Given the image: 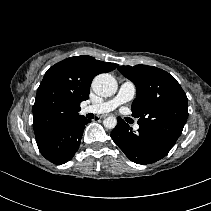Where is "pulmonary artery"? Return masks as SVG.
<instances>
[{
    "label": "pulmonary artery",
    "instance_id": "obj_1",
    "mask_svg": "<svg viewBox=\"0 0 211 211\" xmlns=\"http://www.w3.org/2000/svg\"><path fill=\"white\" fill-rule=\"evenodd\" d=\"M136 94V86L131 81L123 82L118 90V93L110 100L97 104H92L84 107L85 113L101 114L113 111L121 104L129 102ZM135 129H139V125H135Z\"/></svg>",
    "mask_w": 211,
    "mask_h": 211
}]
</instances>
